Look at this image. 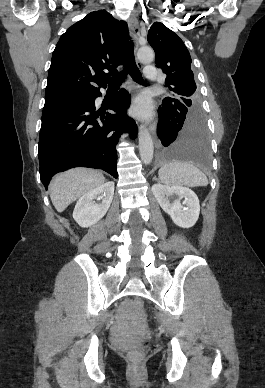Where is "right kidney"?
Returning a JSON list of instances; mask_svg holds the SVG:
<instances>
[{
  "label": "right kidney",
  "instance_id": "right-kidney-1",
  "mask_svg": "<svg viewBox=\"0 0 265 388\" xmlns=\"http://www.w3.org/2000/svg\"><path fill=\"white\" fill-rule=\"evenodd\" d=\"M114 196V182H106L94 190H90L87 194H83L78 200L73 218L81 228H89L93 224H97L112 204ZM94 200H102L101 204H96Z\"/></svg>",
  "mask_w": 265,
  "mask_h": 388
}]
</instances>
